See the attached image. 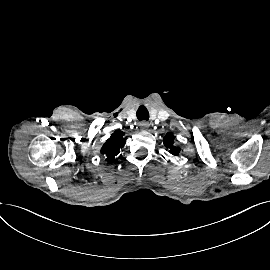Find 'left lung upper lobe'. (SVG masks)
I'll return each instance as SVG.
<instances>
[{"label": "left lung upper lobe", "mask_w": 270, "mask_h": 270, "mask_svg": "<svg viewBox=\"0 0 270 270\" xmlns=\"http://www.w3.org/2000/svg\"><path fill=\"white\" fill-rule=\"evenodd\" d=\"M174 136L172 134H168L164 137V145L170 149V153L173 155H178L180 149L175 147L174 145Z\"/></svg>", "instance_id": "1"}]
</instances>
